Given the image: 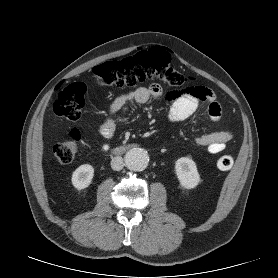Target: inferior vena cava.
I'll use <instances>...</instances> for the list:
<instances>
[{
	"label": "inferior vena cava",
	"instance_id": "inferior-vena-cava-1",
	"mask_svg": "<svg viewBox=\"0 0 278 278\" xmlns=\"http://www.w3.org/2000/svg\"><path fill=\"white\" fill-rule=\"evenodd\" d=\"M124 167L123 158L116 156L111 160V168L115 171H119Z\"/></svg>",
	"mask_w": 278,
	"mask_h": 278
}]
</instances>
